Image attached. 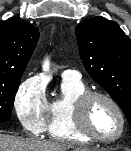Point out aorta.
Instances as JSON below:
<instances>
[{"label":"aorta","mask_w":131,"mask_h":151,"mask_svg":"<svg viewBox=\"0 0 131 151\" xmlns=\"http://www.w3.org/2000/svg\"><path fill=\"white\" fill-rule=\"evenodd\" d=\"M48 67H49V64H48V62H46V63L44 64V70H48Z\"/></svg>","instance_id":"762f6f07"}]
</instances>
